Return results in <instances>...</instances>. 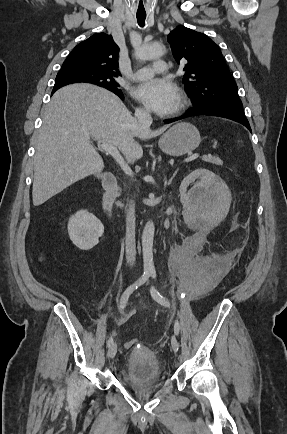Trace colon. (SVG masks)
I'll list each match as a JSON object with an SVG mask.
<instances>
[{
	"label": "colon",
	"instance_id": "colon-1",
	"mask_svg": "<svg viewBox=\"0 0 287 434\" xmlns=\"http://www.w3.org/2000/svg\"><path fill=\"white\" fill-rule=\"evenodd\" d=\"M137 342L138 341L136 339L129 340L128 342H126L125 347L128 349L133 348L137 345Z\"/></svg>",
	"mask_w": 287,
	"mask_h": 434
}]
</instances>
